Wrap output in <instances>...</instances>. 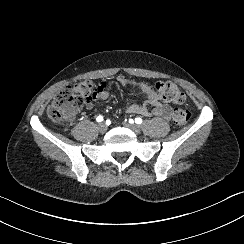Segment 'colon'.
I'll use <instances>...</instances> for the list:
<instances>
[{
  "label": "colon",
  "instance_id": "5ec220e1",
  "mask_svg": "<svg viewBox=\"0 0 244 244\" xmlns=\"http://www.w3.org/2000/svg\"><path fill=\"white\" fill-rule=\"evenodd\" d=\"M153 88L166 101L174 104L185 101V94L173 82L157 81L154 83ZM96 94V84L89 79L79 80L74 84L63 87L47 110L49 119L56 127L63 125ZM172 120L176 126L185 125L189 120V111L175 110Z\"/></svg>",
  "mask_w": 244,
  "mask_h": 244
}]
</instances>
